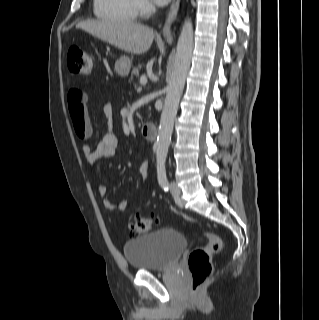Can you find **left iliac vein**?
Wrapping results in <instances>:
<instances>
[{"mask_svg":"<svg viewBox=\"0 0 319 320\" xmlns=\"http://www.w3.org/2000/svg\"><path fill=\"white\" fill-rule=\"evenodd\" d=\"M169 188L174 197H179L181 190L175 182H171Z\"/></svg>","mask_w":319,"mask_h":320,"instance_id":"1","label":"left iliac vein"}]
</instances>
